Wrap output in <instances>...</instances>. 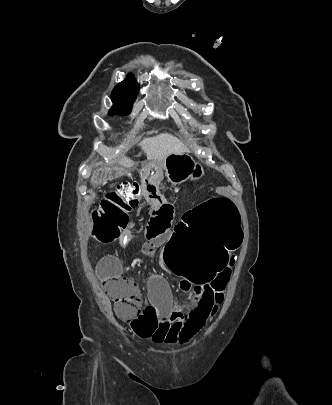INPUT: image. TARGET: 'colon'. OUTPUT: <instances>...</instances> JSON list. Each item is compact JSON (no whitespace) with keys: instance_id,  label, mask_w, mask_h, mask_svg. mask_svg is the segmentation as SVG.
<instances>
[{"instance_id":"obj_1","label":"colon","mask_w":332,"mask_h":405,"mask_svg":"<svg viewBox=\"0 0 332 405\" xmlns=\"http://www.w3.org/2000/svg\"><path fill=\"white\" fill-rule=\"evenodd\" d=\"M140 185L123 182L105 194L100 208L92 214L95 240L110 243L121 236L130 211L142 206ZM170 239L166 241L163 268H168V275H180L181 281H192L193 287H206L211 281L212 301L207 313L211 318L225 298L231 276L228 257H235L243 242L237 202H231L230 197H208L206 202L191 205L187 220H177ZM104 289L120 317L134 319L138 311H144L132 279L110 277L104 281Z\"/></svg>"}]
</instances>
